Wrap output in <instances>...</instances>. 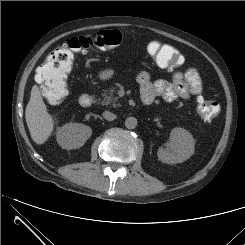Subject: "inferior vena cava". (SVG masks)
Listing matches in <instances>:
<instances>
[{"label": "inferior vena cava", "mask_w": 245, "mask_h": 245, "mask_svg": "<svg viewBox=\"0 0 245 245\" xmlns=\"http://www.w3.org/2000/svg\"><path fill=\"white\" fill-rule=\"evenodd\" d=\"M102 115H103V117H104L106 120H108V121H113V120L116 119V115L113 114V113H111V112H109V111L103 112Z\"/></svg>", "instance_id": "obj_1"}]
</instances>
